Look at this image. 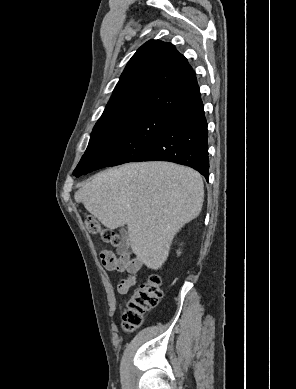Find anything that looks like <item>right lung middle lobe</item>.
I'll return each instance as SVG.
<instances>
[{
    "instance_id": "1",
    "label": "right lung middle lobe",
    "mask_w": 296,
    "mask_h": 389,
    "mask_svg": "<svg viewBox=\"0 0 296 389\" xmlns=\"http://www.w3.org/2000/svg\"><path fill=\"white\" fill-rule=\"evenodd\" d=\"M175 119L157 113L100 118L77 167L96 169L138 162Z\"/></svg>"
}]
</instances>
